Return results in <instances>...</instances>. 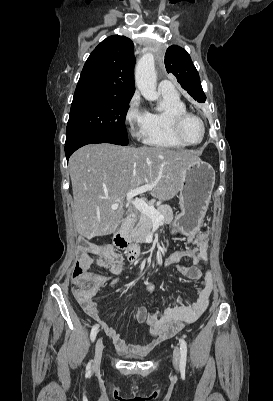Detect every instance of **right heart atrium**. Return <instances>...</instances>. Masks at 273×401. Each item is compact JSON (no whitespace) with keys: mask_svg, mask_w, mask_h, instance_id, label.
<instances>
[{"mask_svg":"<svg viewBox=\"0 0 273 401\" xmlns=\"http://www.w3.org/2000/svg\"><path fill=\"white\" fill-rule=\"evenodd\" d=\"M147 116L148 111L143 107L141 98L134 95L129 101L125 120L131 136L136 140H141L146 134Z\"/></svg>","mask_w":273,"mask_h":401,"instance_id":"obj_1","label":"right heart atrium"}]
</instances>
